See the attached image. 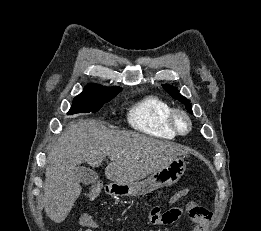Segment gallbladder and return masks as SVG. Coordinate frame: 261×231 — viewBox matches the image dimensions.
I'll list each match as a JSON object with an SVG mask.
<instances>
[{
    "mask_svg": "<svg viewBox=\"0 0 261 231\" xmlns=\"http://www.w3.org/2000/svg\"><path fill=\"white\" fill-rule=\"evenodd\" d=\"M75 175L79 181L85 185H93L98 180V174L85 166H78L75 169Z\"/></svg>",
    "mask_w": 261,
    "mask_h": 231,
    "instance_id": "gallbladder-1",
    "label": "gallbladder"
}]
</instances>
